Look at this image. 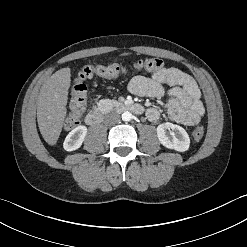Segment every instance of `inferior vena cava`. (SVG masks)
Instances as JSON below:
<instances>
[{"label":"inferior vena cava","mask_w":247,"mask_h":247,"mask_svg":"<svg viewBox=\"0 0 247 247\" xmlns=\"http://www.w3.org/2000/svg\"><path fill=\"white\" fill-rule=\"evenodd\" d=\"M120 121V116L116 113H110L105 116L104 122L106 124H116Z\"/></svg>","instance_id":"602c4592"}]
</instances>
